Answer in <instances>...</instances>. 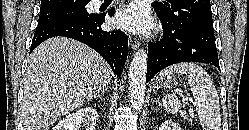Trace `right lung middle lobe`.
Wrapping results in <instances>:
<instances>
[{
    "label": "right lung middle lobe",
    "mask_w": 249,
    "mask_h": 130,
    "mask_svg": "<svg viewBox=\"0 0 249 130\" xmlns=\"http://www.w3.org/2000/svg\"><path fill=\"white\" fill-rule=\"evenodd\" d=\"M88 2H82L74 7L61 9L40 10L38 26L72 20H85L93 14H89L85 8Z\"/></svg>",
    "instance_id": "dd1d6c3e"
}]
</instances>
